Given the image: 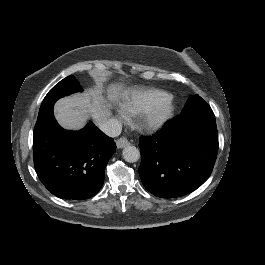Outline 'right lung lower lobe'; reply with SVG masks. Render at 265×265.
I'll use <instances>...</instances> for the list:
<instances>
[{
  "mask_svg": "<svg viewBox=\"0 0 265 265\" xmlns=\"http://www.w3.org/2000/svg\"><path fill=\"white\" fill-rule=\"evenodd\" d=\"M115 150L113 139L91 122L80 131H67L56 122L53 107L38 115L33 134L35 170L46 189L59 198L84 200L95 195Z\"/></svg>",
  "mask_w": 265,
  "mask_h": 265,
  "instance_id": "right-lung-lower-lobe-1",
  "label": "right lung lower lobe"
}]
</instances>
